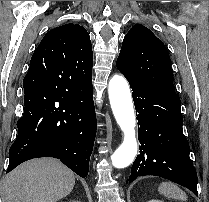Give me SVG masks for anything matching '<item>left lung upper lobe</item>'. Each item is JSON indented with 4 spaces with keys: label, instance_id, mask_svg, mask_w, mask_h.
Returning <instances> with one entry per match:
<instances>
[{
    "label": "left lung upper lobe",
    "instance_id": "5c2ea615",
    "mask_svg": "<svg viewBox=\"0 0 209 202\" xmlns=\"http://www.w3.org/2000/svg\"><path fill=\"white\" fill-rule=\"evenodd\" d=\"M116 65L127 79L175 93L168 51L163 42L141 24L134 25L125 35Z\"/></svg>",
    "mask_w": 209,
    "mask_h": 202
}]
</instances>
